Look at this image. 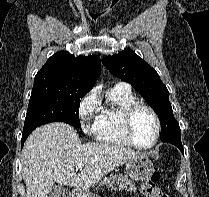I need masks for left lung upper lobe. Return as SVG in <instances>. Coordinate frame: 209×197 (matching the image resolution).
<instances>
[{"label": "left lung upper lobe", "instance_id": "obj_1", "mask_svg": "<svg viewBox=\"0 0 209 197\" xmlns=\"http://www.w3.org/2000/svg\"><path fill=\"white\" fill-rule=\"evenodd\" d=\"M102 62L112 74L138 90L158 114L162 142L181 140L180 127L173 115L168 90L148 63L131 50L104 57Z\"/></svg>", "mask_w": 209, "mask_h": 197}]
</instances>
